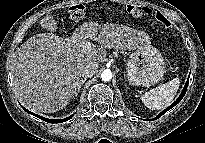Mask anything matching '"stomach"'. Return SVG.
Instances as JSON below:
<instances>
[{"label":"stomach","mask_w":205,"mask_h":143,"mask_svg":"<svg viewBox=\"0 0 205 143\" xmlns=\"http://www.w3.org/2000/svg\"><path fill=\"white\" fill-rule=\"evenodd\" d=\"M164 73V59L151 45L138 48L127 61V78L134 86L154 85L163 78Z\"/></svg>","instance_id":"1"}]
</instances>
